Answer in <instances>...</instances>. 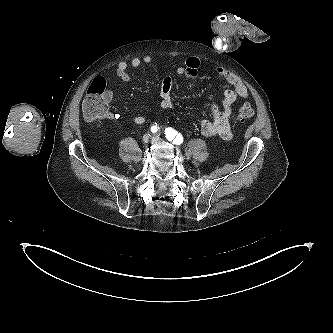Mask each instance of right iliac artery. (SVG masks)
I'll list each match as a JSON object with an SVG mask.
<instances>
[{
    "instance_id": "1",
    "label": "right iliac artery",
    "mask_w": 333,
    "mask_h": 333,
    "mask_svg": "<svg viewBox=\"0 0 333 333\" xmlns=\"http://www.w3.org/2000/svg\"><path fill=\"white\" fill-rule=\"evenodd\" d=\"M158 129H159V127L153 125V126L151 127V132H152V133H156V132L158 131Z\"/></svg>"
}]
</instances>
